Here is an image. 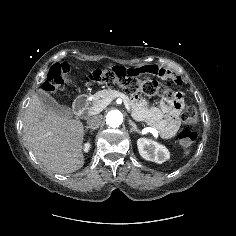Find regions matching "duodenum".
Segmentation results:
<instances>
[{
    "label": "duodenum",
    "instance_id": "obj_1",
    "mask_svg": "<svg viewBox=\"0 0 236 236\" xmlns=\"http://www.w3.org/2000/svg\"><path fill=\"white\" fill-rule=\"evenodd\" d=\"M88 100L85 95L78 97L73 103V110L76 114L82 115L86 111Z\"/></svg>",
    "mask_w": 236,
    "mask_h": 236
}]
</instances>
